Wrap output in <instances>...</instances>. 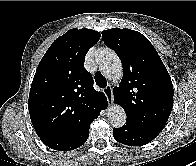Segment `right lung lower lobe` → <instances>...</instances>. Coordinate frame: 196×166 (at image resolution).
Segmentation results:
<instances>
[{
	"instance_id": "1",
	"label": "right lung lower lobe",
	"mask_w": 196,
	"mask_h": 166,
	"mask_svg": "<svg viewBox=\"0 0 196 166\" xmlns=\"http://www.w3.org/2000/svg\"><path fill=\"white\" fill-rule=\"evenodd\" d=\"M108 102L104 101L97 108V111L94 114V119L100 115V111L107 107ZM89 135V129L82 135L77 137H64V136H55L42 138L41 141L48 147L59 150V151H69L75 148H78L86 142Z\"/></svg>"
}]
</instances>
